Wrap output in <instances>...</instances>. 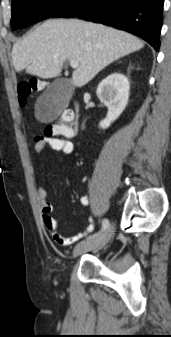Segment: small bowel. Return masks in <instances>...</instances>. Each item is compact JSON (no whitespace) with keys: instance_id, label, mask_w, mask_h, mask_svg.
Masks as SVG:
<instances>
[{"instance_id":"small-bowel-1","label":"small bowel","mask_w":171,"mask_h":337,"mask_svg":"<svg viewBox=\"0 0 171 337\" xmlns=\"http://www.w3.org/2000/svg\"><path fill=\"white\" fill-rule=\"evenodd\" d=\"M46 147H50L52 150L62 152L66 155H71L75 151L74 143L67 138H59L55 136H39L34 142V151L37 154L38 161H41V154ZM37 200L39 209L42 214V221L46 230L50 233L53 240L62 246H70L76 241L83 238L88 233L94 230V219L89 217V225L85 232L77 233L74 236L66 237L60 232V224L51 215L53 211V205L48 200V193L46 189L39 183L37 187ZM80 202L83 206H89L90 200L87 196H82Z\"/></svg>"}]
</instances>
